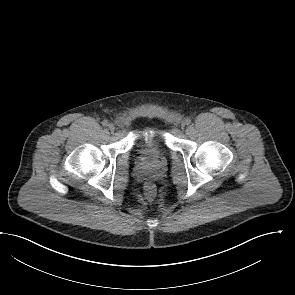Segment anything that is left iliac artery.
<instances>
[{"instance_id":"44dca946","label":"left iliac artery","mask_w":295,"mask_h":295,"mask_svg":"<svg viewBox=\"0 0 295 295\" xmlns=\"http://www.w3.org/2000/svg\"><path fill=\"white\" fill-rule=\"evenodd\" d=\"M185 123H186L187 125H189V124L191 123V119H190V118H186V119H185Z\"/></svg>"}]
</instances>
